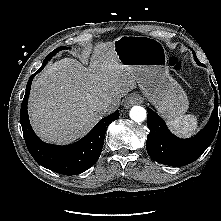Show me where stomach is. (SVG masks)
<instances>
[{"label": "stomach", "instance_id": "stomach-1", "mask_svg": "<svg viewBox=\"0 0 221 221\" xmlns=\"http://www.w3.org/2000/svg\"><path fill=\"white\" fill-rule=\"evenodd\" d=\"M122 65L132 70L136 83L168 120L184 114L189 106L181 86L170 76L162 44L148 36H121L113 42Z\"/></svg>", "mask_w": 221, "mask_h": 221}]
</instances>
